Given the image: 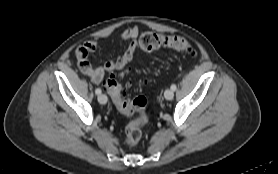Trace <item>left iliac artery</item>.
Returning <instances> with one entry per match:
<instances>
[{
	"instance_id": "44dca946",
	"label": "left iliac artery",
	"mask_w": 278,
	"mask_h": 174,
	"mask_svg": "<svg viewBox=\"0 0 278 174\" xmlns=\"http://www.w3.org/2000/svg\"><path fill=\"white\" fill-rule=\"evenodd\" d=\"M171 89H172L173 91H175V90L177 89L176 85H175V84H172V85H171Z\"/></svg>"
}]
</instances>
